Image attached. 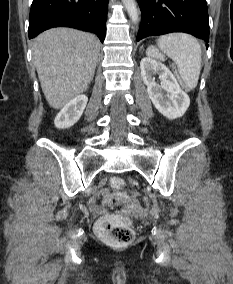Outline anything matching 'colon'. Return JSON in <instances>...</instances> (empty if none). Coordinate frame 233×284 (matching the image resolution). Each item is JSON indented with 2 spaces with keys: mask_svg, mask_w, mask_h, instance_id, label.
<instances>
[{
  "mask_svg": "<svg viewBox=\"0 0 233 284\" xmlns=\"http://www.w3.org/2000/svg\"><path fill=\"white\" fill-rule=\"evenodd\" d=\"M147 55L153 59L164 61L165 56L155 46H150L146 50ZM182 86L186 85L181 82ZM110 186L117 192V199L123 203L129 210L138 211L142 209L141 202L122 192L124 187V180L121 177L114 176L110 179ZM96 231L98 235L105 240L118 244L127 245L135 239V233L125 221L116 216H106L98 220L96 224Z\"/></svg>",
  "mask_w": 233,
  "mask_h": 284,
  "instance_id": "5ec220e1",
  "label": "colon"
}]
</instances>
